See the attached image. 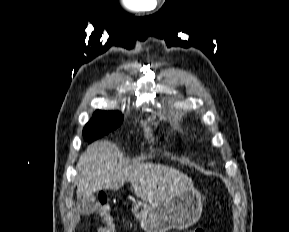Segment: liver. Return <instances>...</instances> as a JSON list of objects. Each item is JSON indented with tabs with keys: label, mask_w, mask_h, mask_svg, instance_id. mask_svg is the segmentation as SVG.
<instances>
[{
	"label": "liver",
	"mask_w": 289,
	"mask_h": 232,
	"mask_svg": "<svg viewBox=\"0 0 289 232\" xmlns=\"http://www.w3.org/2000/svg\"><path fill=\"white\" fill-rule=\"evenodd\" d=\"M118 147L109 141H96L79 157L77 199L100 190H118L127 181L137 197L149 203L165 200L193 188L192 179L177 169L152 163L120 164Z\"/></svg>",
	"instance_id": "obj_1"
}]
</instances>
